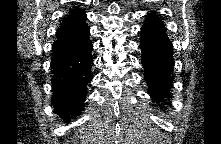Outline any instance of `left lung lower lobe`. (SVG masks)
Instances as JSON below:
<instances>
[{
	"instance_id": "1",
	"label": "left lung lower lobe",
	"mask_w": 221,
	"mask_h": 144,
	"mask_svg": "<svg viewBox=\"0 0 221 144\" xmlns=\"http://www.w3.org/2000/svg\"><path fill=\"white\" fill-rule=\"evenodd\" d=\"M140 49L142 66L149 93L157 103L170 98L169 89L173 77V46L166 35L161 20L155 14H148L141 30Z\"/></svg>"
}]
</instances>
